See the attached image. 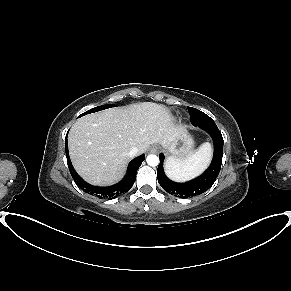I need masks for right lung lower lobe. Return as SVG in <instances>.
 I'll use <instances>...</instances> for the list:
<instances>
[{
    "mask_svg": "<svg viewBox=\"0 0 291 291\" xmlns=\"http://www.w3.org/2000/svg\"><path fill=\"white\" fill-rule=\"evenodd\" d=\"M65 150H66V158L68 163V168L71 173L72 178L74 179L75 183L86 193L95 195L99 198L104 199H114L118 196L125 194L134 184L136 179V173L138 168L140 167L142 161L145 159V155H141L135 159H133L127 169V173L124 178L117 184L108 186V187H97L88 184L85 182L74 170L69 154H68V146H67V135L65 140Z\"/></svg>",
    "mask_w": 291,
    "mask_h": 291,
    "instance_id": "obj_1",
    "label": "right lung lower lobe"
}]
</instances>
